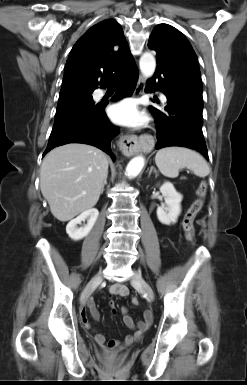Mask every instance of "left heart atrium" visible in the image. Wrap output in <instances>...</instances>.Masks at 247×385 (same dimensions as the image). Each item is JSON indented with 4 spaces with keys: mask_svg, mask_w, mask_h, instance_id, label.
<instances>
[{
    "mask_svg": "<svg viewBox=\"0 0 247 385\" xmlns=\"http://www.w3.org/2000/svg\"><path fill=\"white\" fill-rule=\"evenodd\" d=\"M109 116L118 124L132 127L141 126L146 121L145 114L138 109L135 101L131 99L114 104L109 109Z\"/></svg>",
    "mask_w": 247,
    "mask_h": 385,
    "instance_id": "obj_1",
    "label": "left heart atrium"
}]
</instances>
